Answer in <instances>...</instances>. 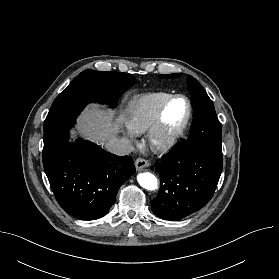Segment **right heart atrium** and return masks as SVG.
<instances>
[{"label":"right heart atrium","mask_w":279,"mask_h":279,"mask_svg":"<svg viewBox=\"0 0 279 279\" xmlns=\"http://www.w3.org/2000/svg\"><path fill=\"white\" fill-rule=\"evenodd\" d=\"M126 134L130 137V138H133L135 136V133H133L130 129H128L126 131Z\"/></svg>","instance_id":"right-heart-atrium-1"}]
</instances>
